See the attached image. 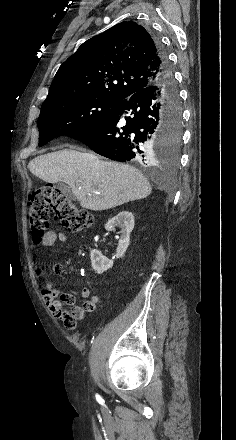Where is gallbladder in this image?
<instances>
[{"mask_svg":"<svg viewBox=\"0 0 236 440\" xmlns=\"http://www.w3.org/2000/svg\"><path fill=\"white\" fill-rule=\"evenodd\" d=\"M57 188L61 191V193L68 197L69 199H75V196L73 194V192L71 191V189L63 182H59L57 184Z\"/></svg>","mask_w":236,"mask_h":440,"instance_id":"obj_1","label":"gallbladder"}]
</instances>
